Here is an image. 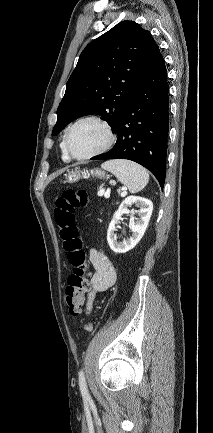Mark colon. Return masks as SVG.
<instances>
[{"label":"colon","instance_id":"colon-1","mask_svg":"<svg viewBox=\"0 0 213 433\" xmlns=\"http://www.w3.org/2000/svg\"><path fill=\"white\" fill-rule=\"evenodd\" d=\"M89 202L88 194L83 189H67L55 201L54 218L59 228V237L67 253V259L74 268L73 273L68 277L65 289L67 309L73 317L82 313L86 304V294L90 288L86 254L79 230L75 225V211L88 206ZM84 329L91 331L93 324L86 321Z\"/></svg>","mask_w":213,"mask_h":433}]
</instances>
